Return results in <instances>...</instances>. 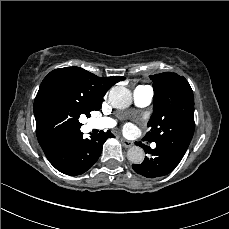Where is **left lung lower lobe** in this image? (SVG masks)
Segmentation results:
<instances>
[{
  "mask_svg": "<svg viewBox=\"0 0 229 229\" xmlns=\"http://www.w3.org/2000/svg\"><path fill=\"white\" fill-rule=\"evenodd\" d=\"M137 145L143 147L147 151V146L141 142H136ZM148 153L151 157H145L141 164H134V171L147 178H157L168 175L180 163V157L174 155L169 148L164 145H156L155 149L148 147Z\"/></svg>",
  "mask_w": 229,
  "mask_h": 229,
  "instance_id": "left-lung-lower-lobe-1",
  "label": "left lung lower lobe"
}]
</instances>
